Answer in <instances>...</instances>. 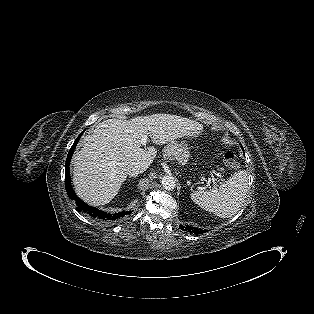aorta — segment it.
<instances>
[{
  "label": "aorta",
  "mask_w": 314,
  "mask_h": 314,
  "mask_svg": "<svg viewBox=\"0 0 314 314\" xmlns=\"http://www.w3.org/2000/svg\"><path fill=\"white\" fill-rule=\"evenodd\" d=\"M161 184L166 190H173L176 186V180L171 175H165L162 177Z\"/></svg>",
  "instance_id": "762f6f07"
}]
</instances>
